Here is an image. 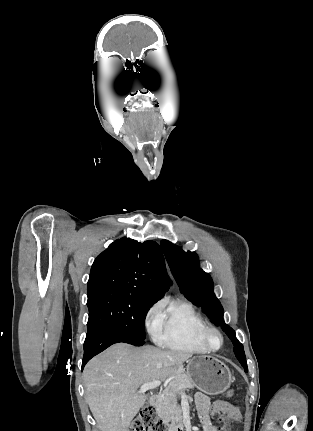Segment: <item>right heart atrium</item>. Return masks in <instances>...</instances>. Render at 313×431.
Listing matches in <instances>:
<instances>
[{
    "label": "right heart atrium",
    "instance_id": "right-heart-atrium-1",
    "mask_svg": "<svg viewBox=\"0 0 313 431\" xmlns=\"http://www.w3.org/2000/svg\"><path fill=\"white\" fill-rule=\"evenodd\" d=\"M162 303L153 304L145 314V325L151 336L156 339L162 325Z\"/></svg>",
    "mask_w": 313,
    "mask_h": 431
}]
</instances>
